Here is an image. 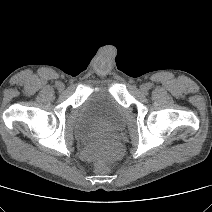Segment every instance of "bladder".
Segmentation results:
<instances>
[{
  "instance_id": "1",
  "label": "bladder",
  "mask_w": 212,
  "mask_h": 212,
  "mask_svg": "<svg viewBox=\"0 0 212 212\" xmlns=\"http://www.w3.org/2000/svg\"><path fill=\"white\" fill-rule=\"evenodd\" d=\"M126 122L125 109L109 91L90 93L78 110L75 133L81 140H91L102 133L118 132Z\"/></svg>"
}]
</instances>
